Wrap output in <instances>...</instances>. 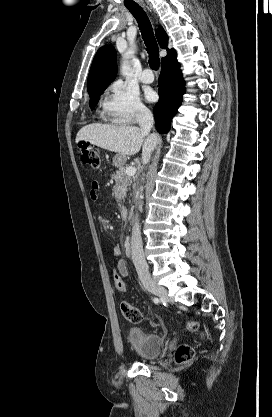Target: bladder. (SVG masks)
<instances>
[{
	"label": "bladder",
	"instance_id": "obj_1",
	"mask_svg": "<svg viewBox=\"0 0 272 417\" xmlns=\"http://www.w3.org/2000/svg\"><path fill=\"white\" fill-rule=\"evenodd\" d=\"M127 337L133 350L140 358L153 360L161 354L163 339L159 335L146 333L139 328H131Z\"/></svg>",
	"mask_w": 272,
	"mask_h": 417
}]
</instances>
